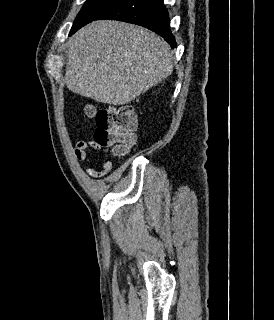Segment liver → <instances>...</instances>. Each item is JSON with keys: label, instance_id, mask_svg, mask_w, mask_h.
I'll return each mask as SVG.
<instances>
[{"label": "liver", "instance_id": "1", "mask_svg": "<svg viewBox=\"0 0 274 320\" xmlns=\"http://www.w3.org/2000/svg\"><path fill=\"white\" fill-rule=\"evenodd\" d=\"M68 44V90L102 104H130L173 70L169 44L133 24L92 22Z\"/></svg>", "mask_w": 274, "mask_h": 320}]
</instances>
